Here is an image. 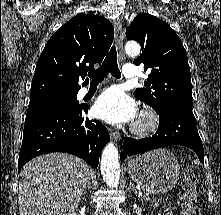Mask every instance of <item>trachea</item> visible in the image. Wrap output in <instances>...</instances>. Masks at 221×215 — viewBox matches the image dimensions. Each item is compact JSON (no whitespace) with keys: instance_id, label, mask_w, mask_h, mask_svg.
Returning <instances> with one entry per match:
<instances>
[{"instance_id":"obj_1","label":"trachea","mask_w":221,"mask_h":215,"mask_svg":"<svg viewBox=\"0 0 221 215\" xmlns=\"http://www.w3.org/2000/svg\"><path fill=\"white\" fill-rule=\"evenodd\" d=\"M109 72L116 78L121 77L117 65V51L115 46L111 47L102 65L97 70L89 72L88 76L92 79V83H100Z\"/></svg>"}]
</instances>
